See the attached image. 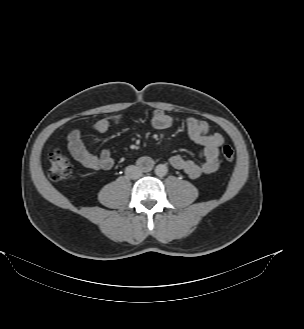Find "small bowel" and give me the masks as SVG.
<instances>
[{"instance_id": "obj_1", "label": "small bowel", "mask_w": 304, "mask_h": 329, "mask_svg": "<svg viewBox=\"0 0 304 329\" xmlns=\"http://www.w3.org/2000/svg\"><path fill=\"white\" fill-rule=\"evenodd\" d=\"M124 116L115 115L102 117L92 124V129L98 133L106 132L112 125L121 124ZM174 123L171 116L157 110L151 117V124L157 129L170 128ZM186 130L189 138L201 146L200 161H192L181 155H173L170 163L173 168L184 172L191 179H197L215 172L219 167V149L224 144V137L219 133L210 134L206 121L189 117L186 120ZM69 150L72 156L84 167L90 170H108L114 164L110 150L104 149L99 155L91 153L81 138L79 130H72L68 136Z\"/></svg>"}]
</instances>
